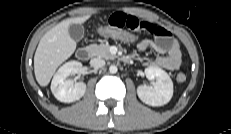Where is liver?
<instances>
[{"mask_svg":"<svg viewBox=\"0 0 231 134\" xmlns=\"http://www.w3.org/2000/svg\"><path fill=\"white\" fill-rule=\"evenodd\" d=\"M90 15L66 19L47 31L41 38L34 55V72L40 86H47L56 69L76 49V42L68 32L71 24H82Z\"/></svg>","mask_w":231,"mask_h":134,"instance_id":"1","label":"liver"}]
</instances>
